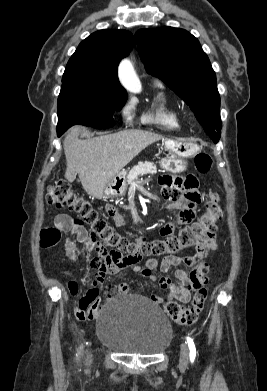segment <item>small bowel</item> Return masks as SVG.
<instances>
[{
	"label": "small bowel",
	"instance_id": "1",
	"mask_svg": "<svg viewBox=\"0 0 267 391\" xmlns=\"http://www.w3.org/2000/svg\"><path fill=\"white\" fill-rule=\"evenodd\" d=\"M160 185L162 186L163 195L171 202L169 207L177 211L176 220L168 222L161 227V235L167 237L173 235L178 225H188L195 221L197 206L201 202V195L198 191V181L193 176L181 178L173 174H165L160 179ZM105 211L116 226L123 225V217L114 205L107 204ZM55 226L60 231L74 235V239L66 240L65 250L69 258L76 259V242L84 243L88 246L89 234L84 224L70 215L60 214L55 218ZM216 249L217 242L215 236H212L197 247V252L194 255L164 258L159 265L161 272H167L172 267L179 265L190 268V270L177 269L173 278L163 277L160 279L161 288L167 290L166 297L180 302H188L192 291L208 283L210 267L206 258ZM127 267H130L135 273L153 277V270L157 267V263L149 261L145 266H140L137 263L128 264L121 253L115 251L105 255L98 254L90 260L92 275L86 282L89 289L74 310L77 319L91 320L94 318L101 305L100 289L105 276L118 274ZM67 273L70 274V272ZM69 289L72 294H76L78 284L71 280ZM130 292L131 287L127 283L122 282L118 285L107 287L105 294L109 299L119 293L127 294ZM150 299L153 303H161L164 300L157 295H152Z\"/></svg>",
	"mask_w": 267,
	"mask_h": 391
}]
</instances>
